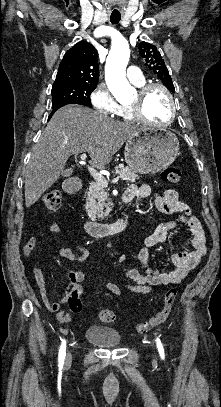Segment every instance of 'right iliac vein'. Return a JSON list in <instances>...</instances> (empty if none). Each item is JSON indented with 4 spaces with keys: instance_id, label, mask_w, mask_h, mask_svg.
Returning <instances> with one entry per match:
<instances>
[{
    "instance_id": "obj_1",
    "label": "right iliac vein",
    "mask_w": 221,
    "mask_h": 407,
    "mask_svg": "<svg viewBox=\"0 0 221 407\" xmlns=\"http://www.w3.org/2000/svg\"><path fill=\"white\" fill-rule=\"evenodd\" d=\"M72 361V354L70 351L67 352V356H66V364H70Z\"/></svg>"
}]
</instances>
